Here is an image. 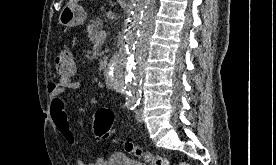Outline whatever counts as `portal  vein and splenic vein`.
Instances as JSON below:
<instances>
[{
	"label": "portal vein and splenic vein",
	"mask_w": 276,
	"mask_h": 165,
	"mask_svg": "<svg viewBox=\"0 0 276 165\" xmlns=\"http://www.w3.org/2000/svg\"><path fill=\"white\" fill-rule=\"evenodd\" d=\"M106 38V32L105 31H101L98 36H97V40H104Z\"/></svg>",
	"instance_id": "obj_1"
}]
</instances>
